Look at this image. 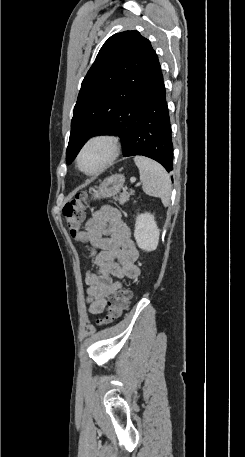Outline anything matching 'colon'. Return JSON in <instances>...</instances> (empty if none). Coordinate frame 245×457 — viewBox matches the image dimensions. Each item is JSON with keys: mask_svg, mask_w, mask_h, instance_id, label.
I'll return each mask as SVG.
<instances>
[{"mask_svg": "<svg viewBox=\"0 0 245 457\" xmlns=\"http://www.w3.org/2000/svg\"><path fill=\"white\" fill-rule=\"evenodd\" d=\"M85 196H77L63 207V218L73 236H76L83 219ZM132 293L128 288L116 290L109 300L105 317L99 323H111L121 317L130 302Z\"/></svg>", "mask_w": 245, "mask_h": 457, "instance_id": "obj_1", "label": "colon"}]
</instances>
